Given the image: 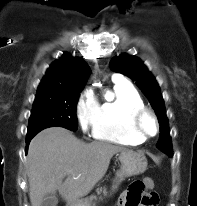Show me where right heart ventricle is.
<instances>
[{
	"label": "right heart ventricle",
	"mask_w": 197,
	"mask_h": 206,
	"mask_svg": "<svg viewBox=\"0 0 197 206\" xmlns=\"http://www.w3.org/2000/svg\"><path fill=\"white\" fill-rule=\"evenodd\" d=\"M114 82V98L98 104L93 137L120 145H140L145 140L133 132L130 115L145 107L143 99L130 83Z\"/></svg>",
	"instance_id": "1"
}]
</instances>
